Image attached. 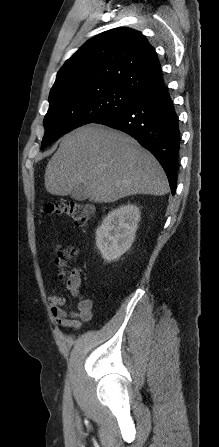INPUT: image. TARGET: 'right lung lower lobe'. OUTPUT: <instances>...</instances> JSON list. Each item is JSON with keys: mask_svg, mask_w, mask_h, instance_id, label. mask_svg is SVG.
Segmentation results:
<instances>
[{"mask_svg": "<svg viewBox=\"0 0 219 447\" xmlns=\"http://www.w3.org/2000/svg\"><path fill=\"white\" fill-rule=\"evenodd\" d=\"M96 123L121 130L148 149L162 165L175 194L180 130L168 88L162 85Z\"/></svg>", "mask_w": 219, "mask_h": 447, "instance_id": "right-lung-lower-lobe-1", "label": "right lung lower lobe"}]
</instances>
